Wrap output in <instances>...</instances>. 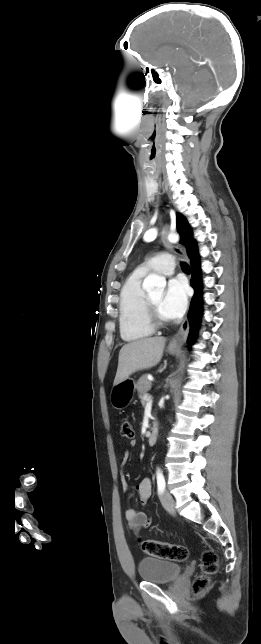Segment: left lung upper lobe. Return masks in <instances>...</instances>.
Segmentation results:
<instances>
[{
    "label": "left lung upper lobe",
    "instance_id": "obj_1",
    "mask_svg": "<svg viewBox=\"0 0 261 644\" xmlns=\"http://www.w3.org/2000/svg\"><path fill=\"white\" fill-rule=\"evenodd\" d=\"M176 224H177V230L181 235L180 243L186 246L189 258L190 259L200 258L198 254L197 243L192 238L193 236L192 229L189 226L186 218L182 214L176 215Z\"/></svg>",
    "mask_w": 261,
    "mask_h": 644
}]
</instances>
